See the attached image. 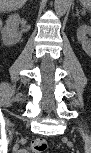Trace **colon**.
I'll list each match as a JSON object with an SVG mask.
<instances>
[{
  "label": "colon",
  "instance_id": "obj_1",
  "mask_svg": "<svg viewBox=\"0 0 91 153\" xmlns=\"http://www.w3.org/2000/svg\"><path fill=\"white\" fill-rule=\"evenodd\" d=\"M48 149V142L45 139L37 138L30 142L26 152L43 153Z\"/></svg>",
  "mask_w": 91,
  "mask_h": 153
}]
</instances>
